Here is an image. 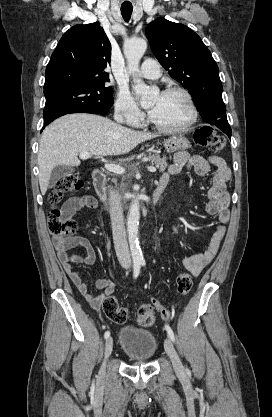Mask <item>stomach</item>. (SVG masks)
<instances>
[{
    "label": "stomach",
    "instance_id": "stomach-1",
    "mask_svg": "<svg viewBox=\"0 0 272 417\" xmlns=\"http://www.w3.org/2000/svg\"><path fill=\"white\" fill-rule=\"evenodd\" d=\"M164 147L168 152H175L189 148L190 142L182 135H173L164 141Z\"/></svg>",
    "mask_w": 272,
    "mask_h": 417
}]
</instances>
